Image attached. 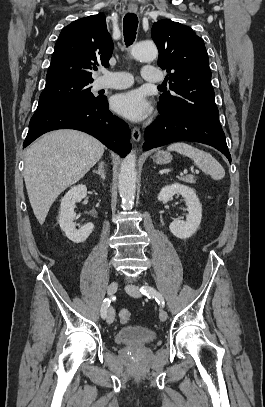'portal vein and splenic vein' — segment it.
<instances>
[{
    "instance_id": "obj_1",
    "label": "portal vein and splenic vein",
    "mask_w": 265,
    "mask_h": 407,
    "mask_svg": "<svg viewBox=\"0 0 265 407\" xmlns=\"http://www.w3.org/2000/svg\"><path fill=\"white\" fill-rule=\"evenodd\" d=\"M196 172H198V171H196ZM183 173L186 174V173H187V170H184Z\"/></svg>"
}]
</instances>
